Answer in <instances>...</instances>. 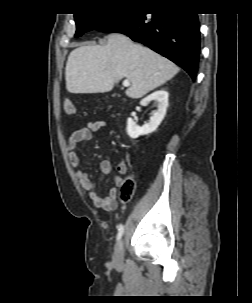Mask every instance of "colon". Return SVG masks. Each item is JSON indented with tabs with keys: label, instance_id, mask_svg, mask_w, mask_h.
<instances>
[{
	"label": "colon",
	"instance_id": "obj_1",
	"mask_svg": "<svg viewBox=\"0 0 252 303\" xmlns=\"http://www.w3.org/2000/svg\"><path fill=\"white\" fill-rule=\"evenodd\" d=\"M63 111L67 115H73L75 113V103L71 98H64ZM135 190V179L133 176L127 177L121 185L120 200L122 202H128Z\"/></svg>",
	"mask_w": 252,
	"mask_h": 303
}]
</instances>
